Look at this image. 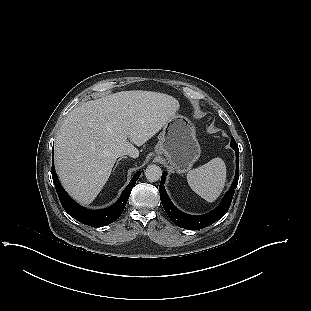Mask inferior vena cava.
Wrapping results in <instances>:
<instances>
[{
  "instance_id": "obj_1",
  "label": "inferior vena cava",
  "mask_w": 311,
  "mask_h": 311,
  "mask_svg": "<svg viewBox=\"0 0 311 311\" xmlns=\"http://www.w3.org/2000/svg\"><path fill=\"white\" fill-rule=\"evenodd\" d=\"M139 152V149L137 146L132 145L130 146L127 151H126V155L130 158H134Z\"/></svg>"
}]
</instances>
